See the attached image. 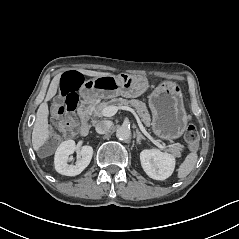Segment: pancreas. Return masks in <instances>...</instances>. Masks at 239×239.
Segmentation results:
<instances>
[{"instance_id":"pancreas-1","label":"pancreas","mask_w":239,"mask_h":239,"mask_svg":"<svg viewBox=\"0 0 239 239\" xmlns=\"http://www.w3.org/2000/svg\"><path fill=\"white\" fill-rule=\"evenodd\" d=\"M108 106H132L136 109L138 115L141 117V120L143 123L149 127L151 123V117L148 112V109L146 107V104L140 100L137 99H124V98H113L107 102H93V116L94 117H101L102 116V110L105 107ZM184 146L181 145L180 143H175L172 144L168 151L171 152L175 156H180L181 155V150Z\"/></svg>"}]
</instances>
